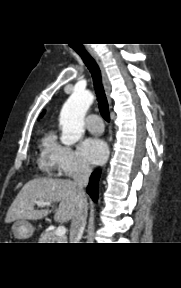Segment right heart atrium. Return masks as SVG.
<instances>
[{"instance_id": "1", "label": "right heart atrium", "mask_w": 181, "mask_h": 288, "mask_svg": "<svg viewBox=\"0 0 181 288\" xmlns=\"http://www.w3.org/2000/svg\"><path fill=\"white\" fill-rule=\"evenodd\" d=\"M51 167L60 176L72 177L90 171L89 164L71 147L54 143L50 150Z\"/></svg>"}]
</instances>
